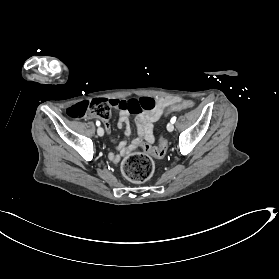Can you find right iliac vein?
Segmentation results:
<instances>
[{"instance_id": "63e3f726", "label": "right iliac vein", "mask_w": 279, "mask_h": 279, "mask_svg": "<svg viewBox=\"0 0 279 279\" xmlns=\"http://www.w3.org/2000/svg\"><path fill=\"white\" fill-rule=\"evenodd\" d=\"M97 134H98L99 136H103V135H104V130H103L102 127H99V128L97 129Z\"/></svg>"}]
</instances>
